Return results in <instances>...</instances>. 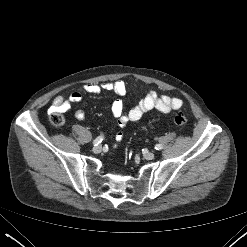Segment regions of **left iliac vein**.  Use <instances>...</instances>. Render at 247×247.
Listing matches in <instances>:
<instances>
[{
	"mask_svg": "<svg viewBox=\"0 0 247 247\" xmlns=\"http://www.w3.org/2000/svg\"><path fill=\"white\" fill-rule=\"evenodd\" d=\"M144 157L147 160H152V159H154V153H152V152H146V153H144Z\"/></svg>",
	"mask_w": 247,
	"mask_h": 247,
	"instance_id": "4c4485c4",
	"label": "left iliac vein"
}]
</instances>
